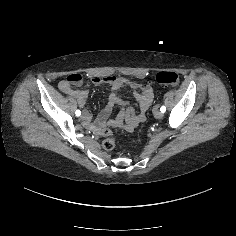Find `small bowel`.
<instances>
[{
    "instance_id": "obj_1",
    "label": "small bowel",
    "mask_w": 236,
    "mask_h": 236,
    "mask_svg": "<svg viewBox=\"0 0 236 236\" xmlns=\"http://www.w3.org/2000/svg\"><path fill=\"white\" fill-rule=\"evenodd\" d=\"M102 82H104L103 79H94V80H93V83H94L95 85H100ZM59 87H60V89H61L63 92H65V93H67V94H69V95L75 93V94H78V95L84 97V102H85V98L87 97V91H76V90H73V89L71 88V85H70L66 80L61 81L60 84H59ZM145 92H146V94H147V96H148V100H147L146 105H144V106L141 108L142 112L145 111V110L148 108V106L150 105V103H151V101H152V98H153L152 91H151L149 88H146V89H145ZM84 102L81 103L80 105H83ZM86 118H87V120H89V119H90V116L87 114Z\"/></svg>"
}]
</instances>
